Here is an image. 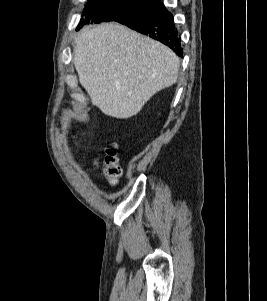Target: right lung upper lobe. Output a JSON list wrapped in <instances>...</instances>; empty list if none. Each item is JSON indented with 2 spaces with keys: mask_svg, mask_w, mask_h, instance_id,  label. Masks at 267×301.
I'll list each match as a JSON object with an SVG mask.
<instances>
[{
  "mask_svg": "<svg viewBox=\"0 0 267 301\" xmlns=\"http://www.w3.org/2000/svg\"><path fill=\"white\" fill-rule=\"evenodd\" d=\"M147 1H150V2H151V5H154V4L159 3V0H147Z\"/></svg>",
  "mask_w": 267,
  "mask_h": 301,
  "instance_id": "cb5924a9",
  "label": "right lung upper lobe"
}]
</instances>
